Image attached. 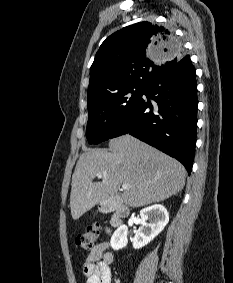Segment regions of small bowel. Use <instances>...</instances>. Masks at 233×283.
<instances>
[{
	"label": "small bowel",
	"instance_id": "c3829d8e",
	"mask_svg": "<svg viewBox=\"0 0 233 283\" xmlns=\"http://www.w3.org/2000/svg\"><path fill=\"white\" fill-rule=\"evenodd\" d=\"M109 246L108 242H101L85 258L82 270L86 283H111L114 256L108 251Z\"/></svg>",
	"mask_w": 233,
	"mask_h": 283
}]
</instances>
